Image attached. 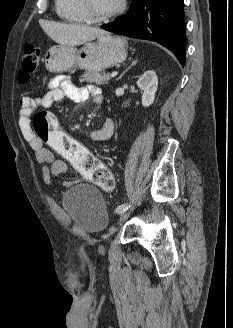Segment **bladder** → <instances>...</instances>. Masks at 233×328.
I'll list each match as a JSON object with an SVG mask.
<instances>
[{
    "instance_id": "bladder-1",
    "label": "bladder",
    "mask_w": 233,
    "mask_h": 328,
    "mask_svg": "<svg viewBox=\"0 0 233 328\" xmlns=\"http://www.w3.org/2000/svg\"><path fill=\"white\" fill-rule=\"evenodd\" d=\"M62 207L80 228L88 233L105 229L109 218L102 194L87 184H78L63 193Z\"/></svg>"
}]
</instances>
